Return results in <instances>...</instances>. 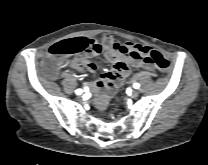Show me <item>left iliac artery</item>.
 <instances>
[{"mask_svg":"<svg viewBox=\"0 0 208 165\" xmlns=\"http://www.w3.org/2000/svg\"><path fill=\"white\" fill-rule=\"evenodd\" d=\"M133 87L138 89L140 87V85H139V83H134Z\"/></svg>","mask_w":208,"mask_h":165,"instance_id":"left-iliac-artery-1","label":"left iliac artery"}]
</instances>
